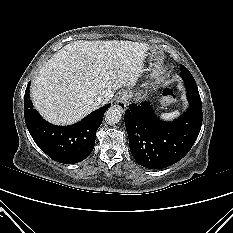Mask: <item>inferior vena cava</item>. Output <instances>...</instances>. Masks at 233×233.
Here are the masks:
<instances>
[{
  "mask_svg": "<svg viewBox=\"0 0 233 233\" xmlns=\"http://www.w3.org/2000/svg\"><path fill=\"white\" fill-rule=\"evenodd\" d=\"M104 101H105L104 97L97 96V97L94 98L93 103H94L95 106H99L100 104L104 103Z\"/></svg>",
  "mask_w": 233,
  "mask_h": 233,
  "instance_id": "1",
  "label": "inferior vena cava"
}]
</instances>
